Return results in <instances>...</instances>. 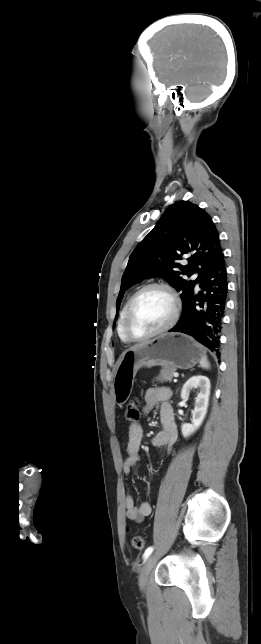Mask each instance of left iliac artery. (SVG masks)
Instances as JSON below:
<instances>
[{"label": "left iliac artery", "instance_id": "left-iliac-artery-1", "mask_svg": "<svg viewBox=\"0 0 261 644\" xmlns=\"http://www.w3.org/2000/svg\"><path fill=\"white\" fill-rule=\"evenodd\" d=\"M153 550H154V547H152V546L148 547L145 550L144 554H143V559L146 560L150 556V554L153 552Z\"/></svg>", "mask_w": 261, "mask_h": 644}]
</instances>
